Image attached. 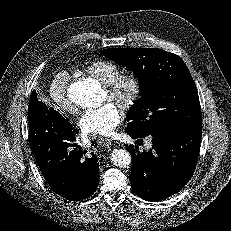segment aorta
I'll return each instance as SVG.
<instances>
[{
    "label": "aorta",
    "instance_id": "obj_1",
    "mask_svg": "<svg viewBox=\"0 0 231 231\" xmlns=\"http://www.w3.org/2000/svg\"><path fill=\"white\" fill-rule=\"evenodd\" d=\"M102 89L89 79L72 82L67 89V97L71 103L78 107H97L102 103ZM111 162L120 168L131 164L130 153L125 149L116 148L111 152Z\"/></svg>",
    "mask_w": 231,
    "mask_h": 231
}]
</instances>
